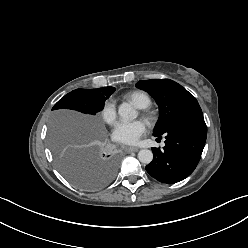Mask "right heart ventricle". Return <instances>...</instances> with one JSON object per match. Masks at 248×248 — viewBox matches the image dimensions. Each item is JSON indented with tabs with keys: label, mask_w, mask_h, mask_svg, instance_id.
<instances>
[{
	"label": "right heart ventricle",
	"mask_w": 248,
	"mask_h": 248,
	"mask_svg": "<svg viewBox=\"0 0 248 248\" xmlns=\"http://www.w3.org/2000/svg\"><path fill=\"white\" fill-rule=\"evenodd\" d=\"M126 96L137 107L142 108V109L148 108L152 103L150 96L144 91H140V90L132 91V92H129Z\"/></svg>",
	"instance_id": "obj_1"
}]
</instances>
